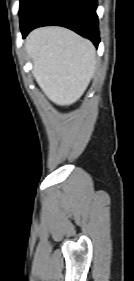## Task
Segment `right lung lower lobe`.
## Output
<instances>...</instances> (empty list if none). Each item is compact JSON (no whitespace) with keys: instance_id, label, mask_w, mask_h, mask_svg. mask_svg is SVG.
Here are the masks:
<instances>
[{"instance_id":"98d812e1","label":"right lung lower lobe","mask_w":134,"mask_h":281,"mask_svg":"<svg viewBox=\"0 0 134 281\" xmlns=\"http://www.w3.org/2000/svg\"><path fill=\"white\" fill-rule=\"evenodd\" d=\"M97 0H35L21 23L23 38L40 26H63L99 44Z\"/></svg>"}]
</instances>
